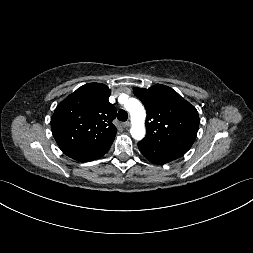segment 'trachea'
Segmentation results:
<instances>
[{
	"label": "trachea",
	"instance_id": "trachea-1",
	"mask_svg": "<svg viewBox=\"0 0 253 253\" xmlns=\"http://www.w3.org/2000/svg\"><path fill=\"white\" fill-rule=\"evenodd\" d=\"M118 120L126 121L128 119V114L125 110L120 109L117 115Z\"/></svg>",
	"mask_w": 253,
	"mask_h": 253
}]
</instances>
